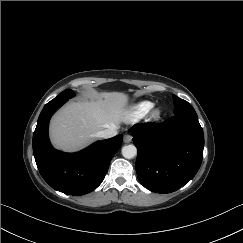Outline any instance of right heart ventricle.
<instances>
[{
    "instance_id": "1",
    "label": "right heart ventricle",
    "mask_w": 243,
    "mask_h": 243,
    "mask_svg": "<svg viewBox=\"0 0 243 243\" xmlns=\"http://www.w3.org/2000/svg\"><path fill=\"white\" fill-rule=\"evenodd\" d=\"M154 106V103L148 100L138 102L133 106V117L139 118L145 116Z\"/></svg>"
}]
</instances>
